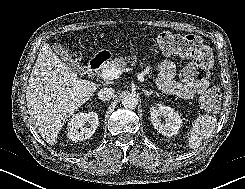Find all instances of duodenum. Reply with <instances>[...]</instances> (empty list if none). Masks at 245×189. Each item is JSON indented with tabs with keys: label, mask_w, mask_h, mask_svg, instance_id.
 <instances>
[{
	"label": "duodenum",
	"mask_w": 245,
	"mask_h": 189,
	"mask_svg": "<svg viewBox=\"0 0 245 189\" xmlns=\"http://www.w3.org/2000/svg\"><path fill=\"white\" fill-rule=\"evenodd\" d=\"M110 59L111 54L107 51H99L96 53L89 62L88 74L93 75L98 72Z\"/></svg>",
	"instance_id": "410a0bca"
}]
</instances>
